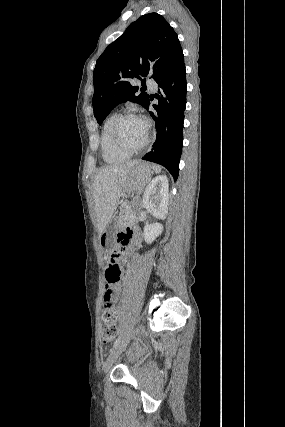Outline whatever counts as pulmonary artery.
<instances>
[{
    "label": "pulmonary artery",
    "instance_id": "obj_1",
    "mask_svg": "<svg viewBox=\"0 0 285 427\" xmlns=\"http://www.w3.org/2000/svg\"><path fill=\"white\" fill-rule=\"evenodd\" d=\"M146 83L151 87V88H156V83H155V81L154 80H152V79H148V80H146Z\"/></svg>",
    "mask_w": 285,
    "mask_h": 427
}]
</instances>
